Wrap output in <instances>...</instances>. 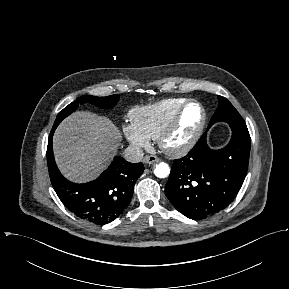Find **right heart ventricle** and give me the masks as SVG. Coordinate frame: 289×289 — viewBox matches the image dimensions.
Instances as JSON below:
<instances>
[{
	"label": "right heart ventricle",
	"mask_w": 289,
	"mask_h": 289,
	"mask_svg": "<svg viewBox=\"0 0 289 289\" xmlns=\"http://www.w3.org/2000/svg\"><path fill=\"white\" fill-rule=\"evenodd\" d=\"M186 98L172 97L131 111L132 123L149 139H158Z\"/></svg>",
	"instance_id": "right-heart-ventricle-1"
}]
</instances>
